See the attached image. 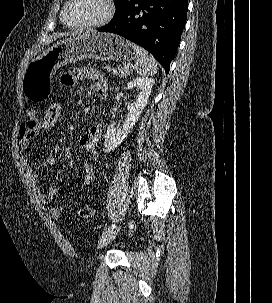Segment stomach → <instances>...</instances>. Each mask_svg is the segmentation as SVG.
I'll return each instance as SVG.
<instances>
[{
	"label": "stomach",
	"instance_id": "0dacf381",
	"mask_svg": "<svg viewBox=\"0 0 272 303\" xmlns=\"http://www.w3.org/2000/svg\"><path fill=\"white\" fill-rule=\"evenodd\" d=\"M136 58L132 44L111 33L86 32L61 40L34 58L25 70L22 91L26 99L45 100L52 87V76L62 66L84 59L130 62Z\"/></svg>",
	"mask_w": 272,
	"mask_h": 303
}]
</instances>
